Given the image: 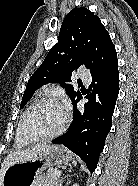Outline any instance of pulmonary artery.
Returning <instances> with one entry per match:
<instances>
[{
  "instance_id": "pulmonary-artery-1",
  "label": "pulmonary artery",
  "mask_w": 138,
  "mask_h": 186,
  "mask_svg": "<svg viewBox=\"0 0 138 186\" xmlns=\"http://www.w3.org/2000/svg\"><path fill=\"white\" fill-rule=\"evenodd\" d=\"M77 75L79 78H81L86 83H89L91 80L89 71L84 68H79L77 71Z\"/></svg>"
}]
</instances>
